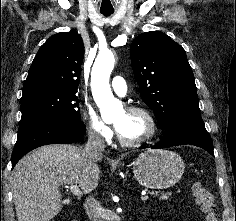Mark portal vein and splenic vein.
Masks as SVG:
<instances>
[{
	"label": "portal vein and splenic vein",
	"mask_w": 236,
	"mask_h": 221,
	"mask_svg": "<svg viewBox=\"0 0 236 221\" xmlns=\"http://www.w3.org/2000/svg\"><path fill=\"white\" fill-rule=\"evenodd\" d=\"M66 188H69V190L75 195V196H81L82 195V191L79 189V187L75 184L69 185V186H65ZM149 199L148 195L142 196L141 200H147Z\"/></svg>",
	"instance_id": "portal-vein-and-splenic-vein-1"
}]
</instances>
